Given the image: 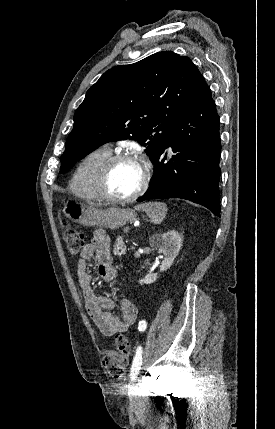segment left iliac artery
I'll list each match as a JSON object with an SVG mask.
<instances>
[{
  "label": "left iliac artery",
  "mask_w": 275,
  "mask_h": 429,
  "mask_svg": "<svg viewBox=\"0 0 275 429\" xmlns=\"http://www.w3.org/2000/svg\"><path fill=\"white\" fill-rule=\"evenodd\" d=\"M146 328H147V322L145 320H141L138 324L139 331L144 332ZM142 353H143L142 347L139 346L136 350V354L134 356V359L131 365L130 376L132 380H134L139 373V370L142 364Z\"/></svg>",
  "instance_id": "1"
}]
</instances>
